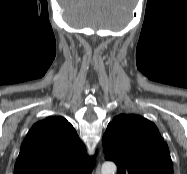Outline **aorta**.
Here are the masks:
<instances>
[{"label":"aorta","instance_id":"762f6f07","mask_svg":"<svg viewBox=\"0 0 187 174\" xmlns=\"http://www.w3.org/2000/svg\"><path fill=\"white\" fill-rule=\"evenodd\" d=\"M117 167L113 162H105L101 168V174H115Z\"/></svg>","mask_w":187,"mask_h":174}]
</instances>
